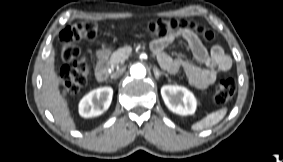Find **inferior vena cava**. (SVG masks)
<instances>
[{
  "label": "inferior vena cava",
  "instance_id": "inferior-vena-cava-1",
  "mask_svg": "<svg viewBox=\"0 0 283 162\" xmlns=\"http://www.w3.org/2000/svg\"><path fill=\"white\" fill-rule=\"evenodd\" d=\"M122 74H123V70H119V71L113 73V74L111 75V78H112V79H117V78L120 77Z\"/></svg>",
  "mask_w": 283,
  "mask_h": 162
}]
</instances>
